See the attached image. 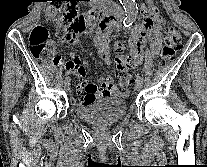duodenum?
I'll list each match as a JSON object with an SVG mask.
<instances>
[{"label": "duodenum", "instance_id": "410a0bca", "mask_svg": "<svg viewBox=\"0 0 207 167\" xmlns=\"http://www.w3.org/2000/svg\"><path fill=\"white\" fill-rule=\"evenodd\" d=\"M94 2V8L89 13V23L93 24L101 19V25L107 24L108 30L120 29L122 16L119 12L111 10L107 3L99 2V0H91Z\"/></svg>", "mask_w": 207, "mask_h": 167}]
</instances>
